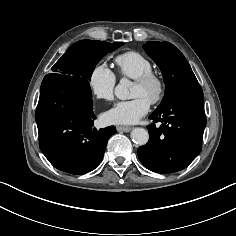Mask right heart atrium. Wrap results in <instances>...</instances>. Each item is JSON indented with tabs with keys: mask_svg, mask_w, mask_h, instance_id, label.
<instances>
[{
	"mask_svg": "<svg viewBox=\"0 0 236 236\" xmlns=\"http://www.w3.org/2000/svg\"><path fill=\"white\" fill-rule=\"evenodd\" d=\"M116 75L105 63L95 64L87 78L92 95L97 99L110 100L116 85Z\"/></svg>",
	"mask_w": 236,
	"mask_h": 236,
	"instance_id": "d8ad5b80",
	"label": "right heart atrium"
}]
</instances>
